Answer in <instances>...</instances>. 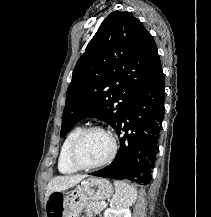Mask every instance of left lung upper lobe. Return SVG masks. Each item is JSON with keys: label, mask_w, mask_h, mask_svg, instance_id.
<instances>
[{"label": "left lung upper lobe", "mask_w": 211, "mask_h": 217, "mask_svg": "<svg viewBox=\"0 0 211 217\" xmlns=\"http://www.w3.org/2000/svg\"><path fill=\"white\" fill-rule=\"evenodd\" d=\"M161 69L157 46L143 24L129 12L110 13L75 65L60 136L87 117L115 128L135 94Z\"/></svg>", "instance_id": "left-lung-upper-lobe-1"}]
</instances>
